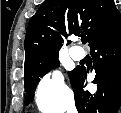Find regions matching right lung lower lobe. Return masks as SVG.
I'll return each mask as SVG.
<instances>
[{"mask_svg": "<svg viewBox=\"0 0 121 113\" xmlns=\"http://www.w3.org/2000/svg\"><path fill=\"white\" fill-rule=\"evenodd\" d=\"M97 92L83 90L87 71L77 67L70 74L78 113H117L121 102V25L90 45Z\"/></svg>", "mask_w": 121, "mask_h": 113, "instance_id": "98d812e1", "label": "right lung lower lobe"}]
</instances>
